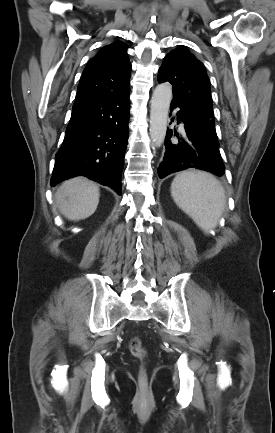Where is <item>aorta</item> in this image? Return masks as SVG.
Masks as SVG:
<instances>
[{
  "label": "aorta",
  "mask_w": 275,
  "mask_h": 433,
  "mask_svg": "<svg viewBox=\"0 0 275 433\" xmlns=\"http://www.w3.org/2000/svg\"><path fill=\"white\" fill-rule=\"evenodd\" d=\"M172 99V87L169 83L156 86L150 110V138L152 145L160 147L165 140L167 119Z\"/></svg>",
  "instance_id": "aorta-1"
}]
</instances>
